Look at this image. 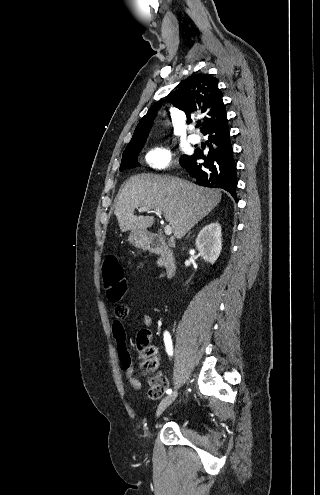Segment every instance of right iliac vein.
I'll use <instances>...</instances> for the list:
<instances>
[{
	"mask_svg": "<svg viewBox=\"0 0 320 495\" xmlns=\"http://www.w3.org/2000/svg\"><path fill=\"white\" fill-rule=\"evenodd\" d=\"M176 397L177 392H173L162 399L156 411V419L160 417V415L176 399Z\"/></svg>",
	"mask_w": 320,
	"mask_h": 495,
	"instance_id": "1",
	"label": "right iliac vein"
}]
</instances>
